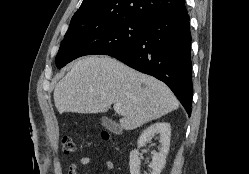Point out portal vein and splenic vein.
<instances>
[{
  "label": "portal vein and splenic vein",
  "mask_w": 249,
  "mask_h": 174,
  "mask_svg": "<svg viewBox=\"0 0 249 174\" xmlns=\"http://www.w3.org/2000/svg\"><path fill=\"white\" fill-rule=\"evenodd\" d=\"M113 109L115 112L119 113V114H124V111L121 109V106L119 104H114Z\"/></svg>",
  "instance_id": "18ae733b"
}]
</instances>
